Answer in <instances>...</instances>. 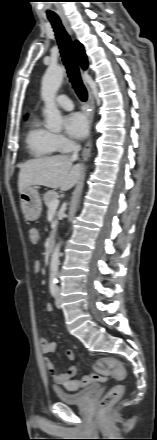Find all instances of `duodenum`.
I'll use <instances>...</instances> for the list:
<instances>
[{"mask_svg":"<svg viewBox=\"0 0 157 440\" xmlns=\"http://www.w3.org/2000/svg\"><path fill=\"white\" fill-rule=\"evenodd\" d=\"M55 243H56V239H55L54 237H51V238L48 240V243H47V250H48L49 253H52V252H53L54 247H55Z\"/></svg>","mask_w":157,"mask_h":440,"instance_id":"1","label":"duodenum"}]
</instances>
